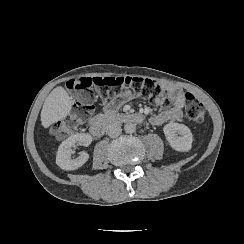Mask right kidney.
<instances>
[{"instance_id":"obj_1","label":"right kidney","mask_w":244,"mask_h":244,"mask_svg":"<svg viewBox=\"0 0 244 244\" xmlns=\"http://www.w3.org/2000/svg\"><path fill=\"white\" fill-rule=\"evenodd\" d=\"M91 142L92 136L88 133L71 135L60 144L56 155V164L63 170H75L81 167L88 160V153L82 151L78 158L71 159V148L75 144L89 146Z\"/></svg>"}]
</instances>
